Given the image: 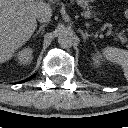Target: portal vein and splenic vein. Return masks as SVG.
<instances>
[{
  "label": "portal vein and splenic vein",
  "mask_w": 128,
  "mask_h": 128,
  "mask_svg": "<svg viewBox=\"0 0 128 128\" xmlns=\"http://www.w3.org/2000/svg\"><path fill=\"white\" fill-rule=\"evenodd\" d=\"M118 35V38L122 41V42H126L127 41V38L125 36H123L122 34H117Z\"/></svg>",
  "instance_id": "obj_1"
}]
</instances>
